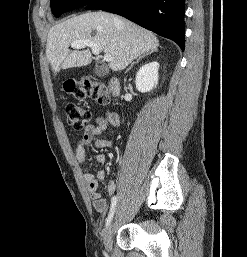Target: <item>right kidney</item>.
Wrapping results in <instances>:
<instances>
[{"mask_svg":"<svg viewBox=\"0 0 247 257\" xmlns=\"http://www.w3.org/2000/svg\"><path fill=\"white\" fill-rule=\"evenodd\" d=\"M159 63L152 61L143 65L136 74V88L138 91L150 92L158 84Z\"/></svg>","mask_w":247,"mask_h":257,"instance_id":"ca27d5eb","label":"right kidney"}]
</instances>
